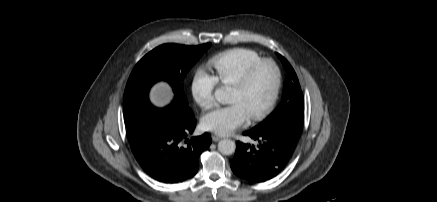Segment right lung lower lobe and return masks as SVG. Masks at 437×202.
<instances>
[{
	"label": "right lung lower lobe",
	"mask_w": 437,
	"mask_h": 202,
	"mask_svg": "<svg viewBox=\"0 0 437 202\" xmlns=\"http://www.w3.org/2000/svg\"><path fill=\"white\" fill-rule=\"evenodd\" d=\"M196 126L194 115L162 111L147 120L144 132L131 141L132 152L155 180L179 183L198 171V159L211 144L208 133L187 139Z\"/></svg>",
	"instance_id": "98d812e1"
}]
</instances>
